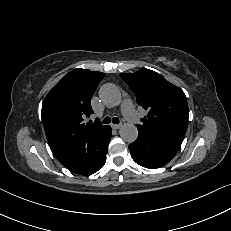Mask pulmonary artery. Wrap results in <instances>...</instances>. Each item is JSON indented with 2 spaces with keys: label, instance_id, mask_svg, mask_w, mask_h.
Returning a JSON list of instances; mask_svg holds the SVG:
<instances>
[{
  "label": "pulmonary artery",
  "instance_id": "obj_1",
  "mask_svg": "<svg viewBox=\"0 0 231 231\" xmlns=\"http://www.w3.org/2000/svg\"><path fill=\"white\" fill-rule=\"evenodd\" d=\"M121 110L125 118L133 124L139 123L140 116L130 99H124L121 104Z\"/></svg>",
  "mask_w": 231,
  "mask_h": 231
}]
</instances>
